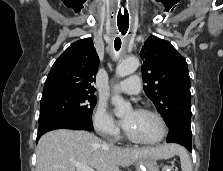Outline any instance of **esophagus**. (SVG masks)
Segmentation results:
<instances>
[{
  "label": "esophagus",
  "instance_id": "34e87169",
  "mask_svg": "<svg viewBox=\"0 0 223 171\" xmlns=\"http://www.w3.org/2000/svg\"><path fill=\"white\" fill-rule=\"evenodd\" d=\"M115 18L117 22L116 28L122 35L131 30L130 13H115Z\"/></svg>",
  "mask_w": 223,
  "mask_h": 171
}]
</instances>
